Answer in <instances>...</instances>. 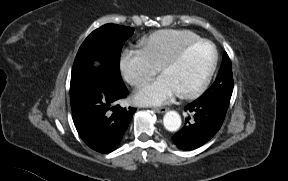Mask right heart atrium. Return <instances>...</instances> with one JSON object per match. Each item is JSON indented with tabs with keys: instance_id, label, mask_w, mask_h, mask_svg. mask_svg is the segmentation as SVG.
<instances>
[{
	"instance_id": "right-heart-atrium-1",
	"label": "right heart atrium",
	"mask_w": 288,
	"mask_h": 181,
	"mask_svg": "<svg viewBox=\"0 0 288 181\" xmlns=\"http://www.w3.org/2000/svg\"><path fill=\"white\" fill-rule=\"evenodd\" d=\"M119 66L125 80L132 86H141L156 74L154 66L141 48H127L120 56Z\"/></svg>"
}]
</instances>
